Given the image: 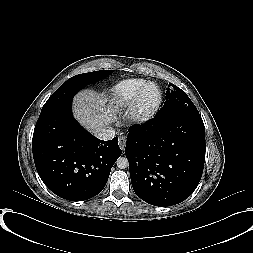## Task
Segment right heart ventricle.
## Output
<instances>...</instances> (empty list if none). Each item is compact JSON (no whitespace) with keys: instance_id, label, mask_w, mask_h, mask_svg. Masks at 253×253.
I'll use <instances>...</instances> for the list:
<instances>
[{"instance_id":"obj_1","label":"right heart ventricle","mask_w":253,"mask_h":253,"mask_svg":"<svg viewBox=\"0 0 253 253\" xmlns=\"http://www.w3.org/2000/svg\"><path fill=\"white\" fill-rule=\"evenodd\" d=\"M147 81L139 78L124 79L114 85L110 101L113 108L123 110L130 107L139 91Z\"/></svg>"}]
</instances>
